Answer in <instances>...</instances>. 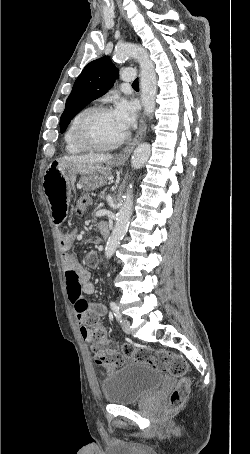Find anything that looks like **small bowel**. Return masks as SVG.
<instances>
[{"mask_svg": "<svg viewBox=\"0 0 250 454\" xmlns=\"http://www.w3.org/2000/svg\"><path fill=\"white\" fill-rule=\"evenodd\" d=\"M75 189L76 176L72 172L50 170L45 175L44 190L51 207L54 223L57 226H61L66 220L67 208ZM72 239V234H63L61 238L63 249L62 264L67 294L73 304L82 338L85 341H91L90 319H101L106 314L107 309L102 304L86 299V295L94 292V285L90 281L88 270L69 252ZM86 258L91 264L97 262V254L93 251L88 252Z\"/></svg>", "mask_w": 250, "mask_h": 454, "instance_id": "c3829d8e", "label": "small bowel"}]
</instances>
